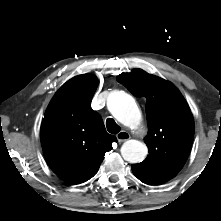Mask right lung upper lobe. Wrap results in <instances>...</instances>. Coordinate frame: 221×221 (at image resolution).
I'll use <instances>...</instances> for the list:
<instances>
[{
	"mask_svg": "<svg viewBox=\"0 0 221 221\" xmlns=\"http://www.w3.org/2000/svg\"><path fill=\"white\" fill-rule=\"evenodd\" d=\"M97 84V78L89 74L67 81L52 98L41 125V144L49 166L73 185L97 173L116 141L91 108Z\"/></svg>",
	"mask_w": 221,
	"mask_h": 221,
	"instance_id": "right-lung-upper-lobe-1",
	"label": "right lung upper lobe"
}]
</instances>
